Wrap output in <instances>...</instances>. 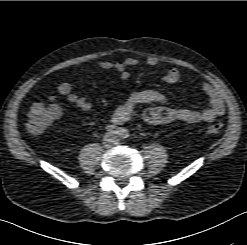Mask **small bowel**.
Masks as SVG:
<instances>
[{
	"mask_svg": "<svg viewBox=\"0 0 247 245\" xmlns=\"http://www.w3.org/2000/svg\"><path fill=\"white\" fill-rule=\"evenodd\" d=\"M146 65L154 67L158 65L156 58L150 57L145 61ZM139 60L134 57H128L122 61L103 60L98 62V66L103 70H115L122 80L130 77V69L137 66ZM163 80L167 83H180L183 81L182 74L177 67H170L163 76ZM202 90L205 95L208 107L203 110H195L190 108H177L168 105V99L165 94L155 89H146L130 94L127 99L114 111L112 121L116 124L127 121L135 109L146 103H157L158 106L149 107L143 113V119L150 125H165L176 121L189 124L201 122L210 123L224 113V102L218 91L209 83H203ZM57 92L65 96L67 101L74 104L82 111L91 109V101L88 97L79 95L74 91V85L71 82H63ZM50 101L54 102L55 95L50 96ZM57 108L61 114L59 106L51 104Z\"/></svg>",
	"mask_w": 247,
	"mask_h": 245,
	"instance_id": "c3829d8e",
	"label": "small bowel"
}]
</instances>
